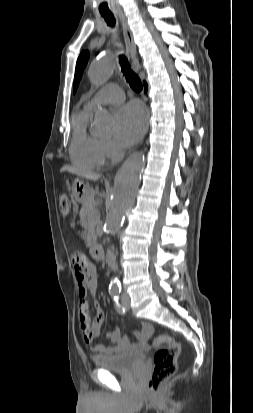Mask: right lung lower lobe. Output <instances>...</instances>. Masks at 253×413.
I'll return each instance as SVG.
<instances>
[{"label": "right lung lower lobe", "mask_w": 253, "mask_h": 413, "mask_svg": "<svg viewBox=\"0 0 253 413\" xmlns=\"http://www.w3.org/2000/svg\"><path fill=\"white\" fill-rule=\"evenodd\" d=\"M144 86H145V91L147 90V84L146 83H144Z\"/></svg>", "instance_id": "98d812e1"}]
</instances>
